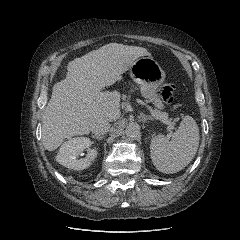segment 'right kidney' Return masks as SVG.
Wrapping results in <instances>:
<instances>
[{
  "instance_id": "obj_1",
  "label": "right kidney",
  "mask_w": 240,
  "mask_h": 240,
  "mask_svg": "<svg viewBox=\"0 0 240 240\" xmlns=\"http://www.w3.org/2000/svg\"><path fill=\"white\" fill-rule=\"evenodd\" d=\"M91 141L87 137L71 138L59 149L56 156L57 162L64 167L74 170H83L90 166L91 162L97 157L96 149H89ZM88 149V154L85 158L78 159V153Z\"/></svg>"
}]
</instances>
